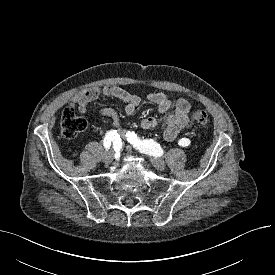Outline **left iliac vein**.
<instances>
[{
  "label": "left iliac vein",
  "mask_w": 275,
  "mask_h": 275,
  "mask_svg": "<svg viewBox=\"0 0 275 275\" xmlns=\"http://www.w3.org/2000/svg\"><path fill=\"white\" fill-rule=\"evenodd\" d=\"M151 162L153 166L160 171H163L166 168V163L160 157H152Z\"/></svg>",
  "instance_id": "4c4485c4"
}]
</instances>
